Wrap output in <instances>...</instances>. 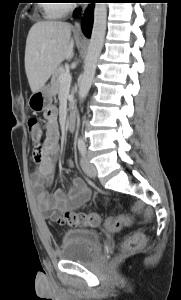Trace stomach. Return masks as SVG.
Masks as SVG:
<instances>
[{"instance_id":"1","label":"stomach","mask_w":181,"mask_h":300,"mask_svg":"<svg viewBox=\"0 0 181 300\" xmlns=\"http://www.w3.org/2000/svg\"><path fill=\"white\" fill-rule=\"evenodd\" d=\"M53 90L51 85H45L40 90L32 93L28 105L35 112L44 111L52 103Z\"/></svg>"}]
</instances>
